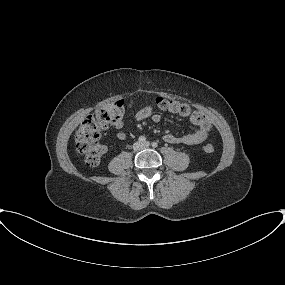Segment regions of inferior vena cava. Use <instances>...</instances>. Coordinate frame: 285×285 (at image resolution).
Listing matches in <instances>:
<instances>
[{
  "label": "inferior vena cava",
  "instance_id": "602c4592",
  "mask_svg": "<svg viewBox=\"0 0 285 285\" xmlns=\"http://www.w3.org/2000/svg\"><path fill=\"white\" fill-rule=\"evenodd\" d=\"M140 146H138V148H136V150H141V149H143V148H145V145H141V144H139ZM147 146V145H146Z\"/></svg>",
  "mask_w": 285,
  "mask_h": 285
}]
</instances>
